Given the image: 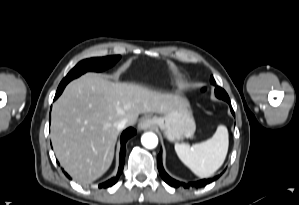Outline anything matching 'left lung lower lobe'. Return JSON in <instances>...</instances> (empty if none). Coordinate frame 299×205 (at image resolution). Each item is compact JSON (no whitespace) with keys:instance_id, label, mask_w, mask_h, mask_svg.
<instances>
[{"instance_id":"obj_1","label":"left lung lower lobe","mask_w":299,"mask_h":205,"mask_svg":"<svg viewBox=\"0 0 299 205\" xmlns=\"http://www.w3.org/2000/svg\"><path fill=\"white\" fill-rule=\"evenodd\" d=\"M223 100L227 101L230 104V100L229 98H224ZM231 112L234 115V111L231 108ZM157 164H158V170L159 173L161 175V177L163 178V180L170 186L175 187V188H199V187H203L209 183H211L212 181H214L215 179L218 178H211V179H203L197 182H190V183H184V182H179L173 178H171L164 170L163 165H162V152L159 153L158 157H157Z\"/></svg>"}]
</instances>
